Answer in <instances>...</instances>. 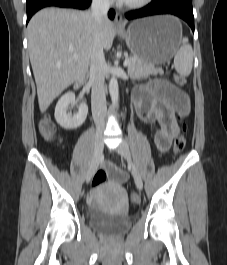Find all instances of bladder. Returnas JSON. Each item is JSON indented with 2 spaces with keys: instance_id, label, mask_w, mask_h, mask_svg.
I'll return each mask as SVG.
<instances>
[{
  "instance_id": "bladder-1",
  "label": "bladder",
  "mask_w": 227,
  "mask_h": 265,
  "mask_svg": "<svg viewBox=\"0 0 227 265\" xmlns=\"http://www.w3.org/2000/svg\"><path fill=\"white\" fill-rule=\"evenodd\" d=\"M89 225L104 236L118 237L131 228L132 220L129 216L114 217L101 212H91Z\"/></svg>"
}]
</instances>
